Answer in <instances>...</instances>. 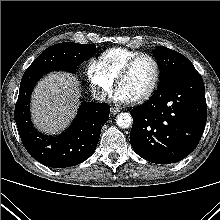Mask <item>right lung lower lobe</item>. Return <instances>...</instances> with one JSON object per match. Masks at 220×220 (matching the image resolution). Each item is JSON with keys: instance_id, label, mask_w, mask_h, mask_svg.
<instances>
[{"instance_id": "obj_1", "label": "right lung lower lobe", "mask_w": 220, "mask_h": 220, "mask_svg": "<svg viewBox=\"0 0 220 220\" xmlns=\"http://www.w3.org/2000/svg\"><path fill=\"white\" fill-rule=\"evenodd\" d=\"M52 70L30 69L23 74L14 118L22 143L38 162L53 168L75 166L87 160L95 151L103 124L109 119L106 103L83 102L66 131L58 137L39 133L31 123L29 101L37 81ZM76 68L64 69L74 72Z\"/></svg>"}]
</instances>
